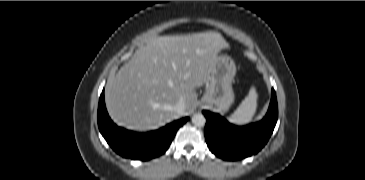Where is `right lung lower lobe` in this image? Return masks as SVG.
<instances>
[{
  "mask_svg": "<svg viewBox=\"0 0 365 180\" xmlns=\"http://www.w3.org/2000/svg\"><path fill=\"white\" fill-rule=\"evenodd\" d=\"M188 117L146 133H137L116 126L110 119L104 100V91L98 105V127L111 148L119 155L133 160L147 161L163 154L170 146L177 130Z\"/></svg>",
  "mask_w": 365,
  "mask_h": 180,
  "instance_id": "98d812e1",
  "label": "right lung lower lobe"
}]
</instances>
